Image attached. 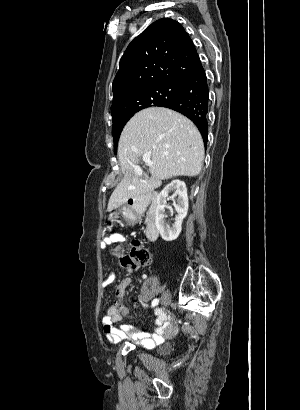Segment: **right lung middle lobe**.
<instances>
[{
	"instance_id": "obj_1",
	"label": "right lung middle lobe",
	"mask_w": 300,
	"mask_h": 410,
	"mask_svg": "<svg viewBox=\"0 0 300 410\" xmlns=\"http://www.w3.org/2000/svg\"><path fill=\"white\" fill-rule=\"evenodd\" d=\"M180 84H165L142 89L133 93L124 104L119 116L113 117L114 151H117L118 139L127 121L141 109L161 106L170 101L182 88Z\"/></svg>"
}]
</instances>
